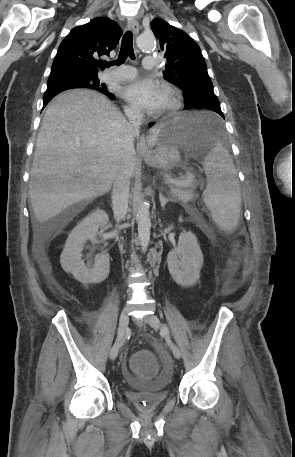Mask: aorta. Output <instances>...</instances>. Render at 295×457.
Returning a JSON list of instances; mask_svg holds the SVG:
<instances>
[{
  "mask_svg": "<svg viewBox=\"0 0 295 457\" xmlns=\"http://www.w3.org/2000/svg\"><path fill=\"white\" fill-rule=\"evenodd\" d=\"M137 46L141 50H151L155 46L153 34H141L137 37ZM149 205L140 200L137 208L138 238L143 250H146L150 241L151 220Z\"/></svg>",
  "mask_w": 295,
  "mask_h": 457,
  "instance_id": "762f6f07",
  "label": "aorta"
}]
</instances>
